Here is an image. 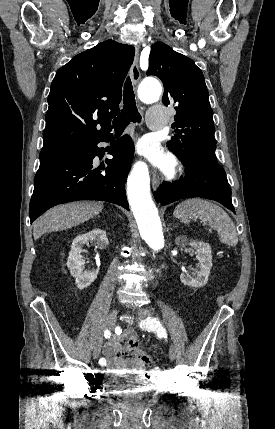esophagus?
I'll return each instance as SVG.
<instances>
[{
    "instance_id": "1",
    "label": "esophagus",
    "mask_w": 275,
    "mask_h": 429,
    "mask_svg": "<svg viewBox=\"0 0 275 429\" xmlns=\"http://www.w3.org/2000/svg\"><path fill=\"white\" fill-rule=\"evenodd\" d=\"M141 73L139 70V46L135 47V57L133 64L131 66V80L134 85L138 83L140 80ZM160 184V176L159 174L154 170L152 172V187L153 189H157Z\"/></svg>"
}]
</instances>
